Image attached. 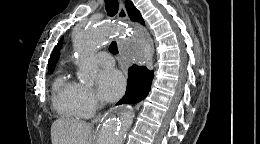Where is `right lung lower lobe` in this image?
Here are the masks:
<instances>
[{
    "instance_id": "1",
    "label": "right lung lower lobe",
    "mask_w": 260,
    "mask_h": 144,
    "mask_svg": "<svg viewBox=\"0 0 260 144\" xmlns=\"http://www.w3.org/2000/svg\"><path fill=\"white\" fill-rule=\"evenodd\" d=\"M153 77V71L144 66L133 65L130 67L126 93L118 104L137 103L144 99L150 91Z\"/></svg>"
}]
</instances>
